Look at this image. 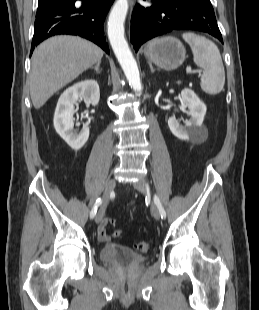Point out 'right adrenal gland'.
<instances>
[{
	"label": "right adrenal gland",
	"mask_w": 259,
	"mask_h": 310,
	"mask_svg": "<svg viewBox=\"0 0 259 310\" xmlns=\"http://www.w3.org/2000/svg\"><path fill=\"white\" fill-rule=\"evenodd\" d=\"M100 64L101 62H98L94 67L91 68V69H94L95 73L97 74L100 73V70H99Z\"/></svg>",
	"instance_id": "2a0ac1e0"
}]
</instances>
